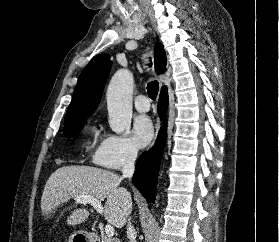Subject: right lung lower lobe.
<instances>
[{
  "mask_svg": "<svg viewBox=\"0 0 279 242\" xmlns=\"http://www.w3.org/2000/svg\"><path fill=\"white\" fill-rule=\"evenodd\" d=\"M167 104V90L161 91L158 102V113L160 117L165 115ZM166 136L165 128L161 129L152 150L142 153L139 157L133 176L134 186L147 201L153 203L156 196L158 172Z\"/></svg>",
  "mask_w": 279,
  "mask_h": 242,
  "instance_id": "98d812e1",
  "label": "right lung lower lobe"
}]
</instances>
